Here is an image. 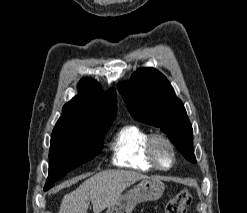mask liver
Returning a JSON list of instances; mask_svg holds the SVG:
<instances>
[{
    "label": "liver",
    "instance_id": "liver-1",
    "mask_svg": "<svg viewBox=\"0 0 247 213\" xmlns=\"http://www.w3.org/2000/svg\"><path fill=\"white\" fill-rule=\"evenodd\" d=\"M146 178L139 172L126 170L97 173L64 196L58 213H87L90 202L94 213H100L113 204L128 186Z\"/></svg>",
    "mask_w": 247,
    "mask_h": 213
}]
</instances>
